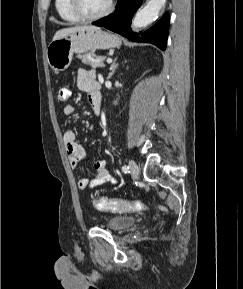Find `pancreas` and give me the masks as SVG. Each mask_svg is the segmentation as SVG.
<instances>
[{
  "label": "pancreas",
  "mask_w": 243,
  "mask_h": 289,
  "mask_svg": "<svg viewBox=\"0 0 243 289\" xmlns=\"http://www.w3.org/2000/svg\"><path fill=\"white\" fill-rule=\"evenodd\" d=\"M77 57L82 61V63L89 65L93 69L105 67V64L103 63L105 57L96 56L94 53L87 52L83 55H78Z\"/></svg>",
  "instance_id": "1"
}]
</instances>
